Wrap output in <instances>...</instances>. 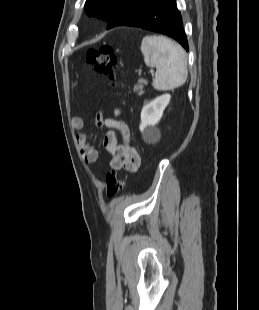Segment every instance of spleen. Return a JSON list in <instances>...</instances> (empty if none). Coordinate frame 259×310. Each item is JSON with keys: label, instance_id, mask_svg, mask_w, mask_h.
Returning <instances> with one entry per match:
<instances>
[{"label": "spleen", "instance_id": "spleen-1", "mask_svg": "<svg viewBox=\"0 0 259 310\" xmlns=\"http://www.w3.org/2000/svg\"><path fill=\"white\" fill-rule=\"evenodd\" d=\"M144 62L156 67L152 85L159 91L182 86L187 79V57L184 49L164 36H145L141 43Z\"/></svg>", "mask_w": 259, "mask_h": 310}]
</instances>
